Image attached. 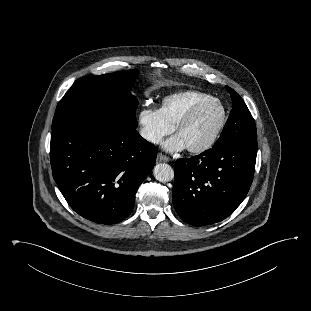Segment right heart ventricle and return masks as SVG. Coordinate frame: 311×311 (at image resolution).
Masks as SVG:
<instances>
[{
    "mask_svg": "<svg viewBox=\"0 0 311 311\" xmlns=\"http://www.w3.org/2000/svg\"><path fill=\"white\" fill-rule=\"evenodd\" d=\"M212 96L198 91H183L166 96L162 100L160 112L173 128L178 121L196 104Z\"/></svg>",
    "mask_w": 311,
    "mask_h": 311,
    "instance_id": "obj_1",
    "label": "right heart ventricle"
}]
</instances>
